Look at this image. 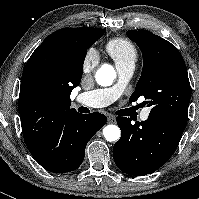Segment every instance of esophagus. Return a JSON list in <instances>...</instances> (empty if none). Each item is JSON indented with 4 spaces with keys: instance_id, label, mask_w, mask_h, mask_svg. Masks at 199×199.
I'll use <instances>...</instances> for the list:
<instances>
[{
    "instance_id": "esophagus-1",
    "label": "esophagus",
    "mask_w": 199,
    "mask_h": 199,
    "mask_svg": "<svg viewBox=\"0 0 199 199\" xmlns=\"http://www.w3.org/2000/svg\"><path fill=\"white\" fill-rule=\"evenodd\" d=\"M108 123H115V118L113 116H109Z\"/></svg>"
}]
</instances>
